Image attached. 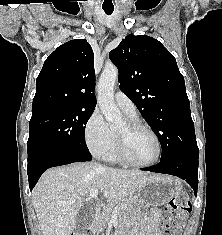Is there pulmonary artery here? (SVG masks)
<instances>
[{"instance_id": "obj_1", "label": "pulmonary artery", "mask_w": 222, "mask_h": 235, "mask_svg": "<svg viewBox=\"0 0 222 235\" xmlns=\"http://www.w3.org/2000/svg\"><path fill=\"white\" fill-rule=\"evenodd\" d=\"M114 98L116 105L125 114L129 116H136V107L126 94H124L122 91H117Z\"/></svg>"}]
</instances>
